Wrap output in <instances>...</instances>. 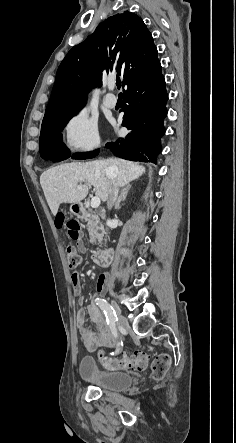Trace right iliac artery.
<instances>
[{"mask_svg": "<svg viewBox=\"0 0 236 443\" xmlns=\"http://www.w3.org/2000/svg\"><path fill=\"white\" fill-rule=\"evenodd\" d=\"M95 302L96 305H98L100 309L104 312L107 323L109 324L112 333L117 338L118 332L116 328V321L118 320V318L113 307L106 300L101 298H96ZM121 348H122V343L118 342L116 354L121 351ZM111 354L113 355L114 353Z\"/></svg>", "mask_w": 236, "mask_h": 443, "instance_id": "82829eb1", "label": "right iliac artery"}]
</instances>
